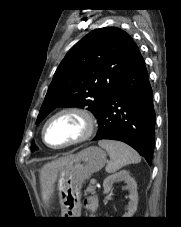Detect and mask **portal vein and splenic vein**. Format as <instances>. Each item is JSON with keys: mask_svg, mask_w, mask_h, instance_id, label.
<instances>
[{"mask_svg": "<svg viewBox=\"0 0 181 227\" xmlns=\"http://www.w3.org/2000/svg\"><path fill=\"white\" fill-rule=\"evenodd\" d=\"M96 182H97V181H96V179H94V178L90 180V183H91L92 185H95Z\"/></svg>", "mask_w": 181, "mask_h": 227, "instance_id": "1", "label": "portal vein and splenic vein"}]
</instances>
